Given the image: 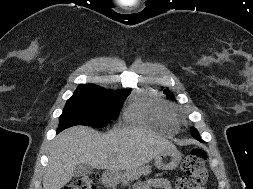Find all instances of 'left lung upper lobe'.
<instances>
[{"label":"left lung upper lobe","instance_id":"obj_1","mask_svg":"<svg viewBox=\"0 0 253 189\" xmlns=\"http://www.w3.org/2000/svg\"><path fill=\"white\" fill-rule=\"evenodd\" d=\"M166 95H167L169 98L174 99V97H173V95H172L171 93L166 92ZM192 134H198V131H197L196 129H193V130L191 131V135H192Z\"/></svg>","mask_w":253,"mask_h":189}]
</instances>
